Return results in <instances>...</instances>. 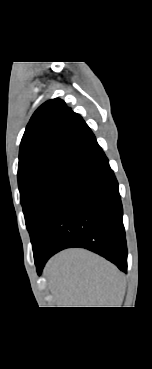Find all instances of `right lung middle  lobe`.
Here are the masks:
<instances>
[{
  "label": "right lung middle lobe",
  "instance_id": "dd1d6c3e",
  "mask_svg": "<svg viewBox=\"0 0 152 369\" xmlns=\"http://www.w3.org/2000/svg\"><path fill=\"white\" fill-rule=\"evenodd\" d=\"M76 164L68 161L58 162L50 167L29 171L18 179L20 201L33 251Z\"/></svg>",
  "mask_w": 152,
  "mask_h": 369
}]
</instances>
